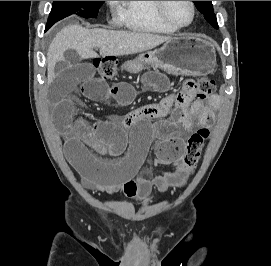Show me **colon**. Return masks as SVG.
I'll use <instances>...</instances> for the list:
<instances>
[{
  "mask_svg": "<svg viewBox=\"0 0 271 266\" xmlns=\"http://www.w3.org/2000/svg\"><path fill=\"white\" fill-rule=\"evenodd\" d=\"M93 65L102 79H110L117 73V63L113 58H97L94 60ZM214 88V81L210 77L187 79L184 81L182 89L178 93V97L204 100L213 94ZM208 137L209 129L204 127L196 130L188 138L186 152L181 163L177 166L181 174L187 177L194 173Z\"/></svg>",
  "mask_w": 271,
  "mask_h": 266,
  "instance_id": "obj_1",
  "label": "colon"
}]
</instances>
